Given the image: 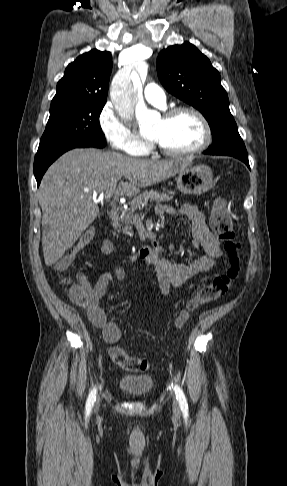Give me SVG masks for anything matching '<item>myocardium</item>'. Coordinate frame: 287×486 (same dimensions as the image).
I'll use <instances>...</instances> for the list:
<instances>
[{
  "instance_id": "myocardium-1",
  "label": "myocardium",
  "mask_w": 287,
  "mask_h": 486,
  "mask_svg": "<svg viewBox=\"0 0 287 486\" xmlns=\"http://www.w3.org/2000/svg\"><path fill=\"white\" fill-rule=\"evenodd\" d=\"M183 113L192 114L193 116H195L198 119V121L201 124L202 131H203L202 140L197 146L190 148V149H186V150H171V149L165 148L164 146H162L157 141L151 140L150 142H151L152 146L166 156H169V157H186V156L194 155V154H197V153H200V152L206 150L212 142V130H211L210 124H209L207 118L204 116V114L195 107L187 106V105L174 107V108H171L170 110H168L167 112H165V114L163 115L162 118L164 120H170V119H172V118H174V117H176L180 114H183Z\"/></svg>"
}]
</instances>
